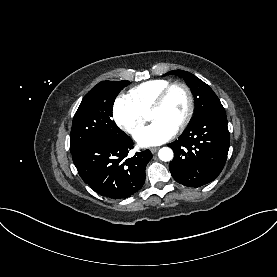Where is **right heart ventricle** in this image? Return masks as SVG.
Instances as JSON below:
<instances>
[{
	"label": "right heart ventricle",
	"mask_w": 277,
	"mask_h": 277,
	"mask_svg": "<svg viewBox=\"0 0 277 277\" xmlns=\"http://www.w3.org/2000/svg\"><path fill=\"white\" fill-rule=\"evenodd\" d=\"M169 84L170 81L166 79L149 80L131 88L128 97L142 113H146L160 92Z\"/></svg>",
	"instance_id": "obj_1"
}]
</instances>
